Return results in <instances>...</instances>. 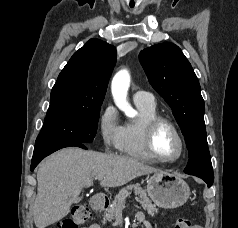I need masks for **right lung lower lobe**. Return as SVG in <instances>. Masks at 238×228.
I'll return each instance as SVG.
<instances>
[{
    "label": "right lung lower lobe",
    "mask_w": 238,
    "mask_h": 228,
    "mask_svg": "<svg viewBox=\"0 0 238 228\" xmlns=\"http://www.w3.org/2000/svg\"><path fill=\"white\" fill-rule=\"evenodd\" d=\"M80 147L83 149H87L84 143L80 142H60V143H53V144H37L34 148L33 158L31 162L30 170L33 171L35 167L39 164V162L46 156L50 155L51 153L65 148V147Z\"/></svg>",
    "instance_id": "right-lung-lower-lobe-1"
}]
</instances>
